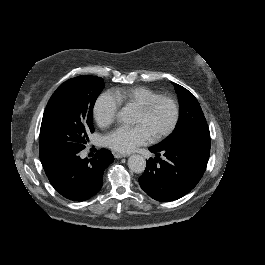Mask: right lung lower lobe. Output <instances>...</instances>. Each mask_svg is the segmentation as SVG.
<instances>
[{"instance_id":"right-lung-lower-lobe-1","label":"right lung lower lobe","mask_w":265,"mask_h":265,"mask_svg":"<svg viewBox=\"0 0 265 265\" xmlns=\"http://www.w3.org/2000/svg\"><path fill=\"white\" fill-rule=\"evenodd\" d=\"M109 150L101 149L93 159H81L77 154L53 155L41 161L54 189L72 201H84L102 187L103 172L113 162Z\"/></svg>"}]
</instances>
